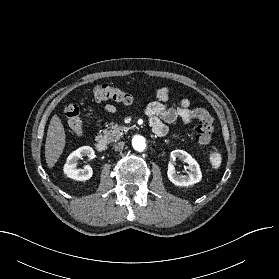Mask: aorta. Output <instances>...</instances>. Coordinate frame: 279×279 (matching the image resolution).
<instances>
[{
    "label": "aorta",
    "instance_id": "1",
    "mask_svg": "<svg viewBox=\"0 0 279 279\" xmlns=\"http://www.w3.org/2000/svg\"><path fill=\"white\" fill-rule=\"evenodd\" d=\"M132 146L137 151H143L146 147L145 138L141 135H135L132 139Z\"/></svg>",
    "mask_w": 279,
    "mask_h": 279
}]
</instances>
